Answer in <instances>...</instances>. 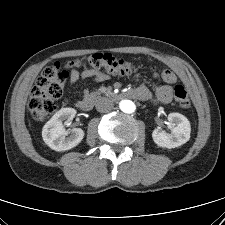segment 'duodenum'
Here are the masks:
<instances>
[{"mask_svg":"<svg viewBox=\"0 0 225 225\" xmlns=\"http://www.w3.org/2000/svg\"><path fill=\"white\" fill-rule=\"evenodd\" d=\"M96 92H94L93 94L87 95L86 97H84L83 99H81L78 104L77 107L82 110V111H90L93 106L94 103L96 101ZM125 95L127 96H132L133 92H128Z\"/></svg>","mask_w":225,"mask_h":225,"instance_id":"duodenum-1","label":"duodenum"}]
</instances>
